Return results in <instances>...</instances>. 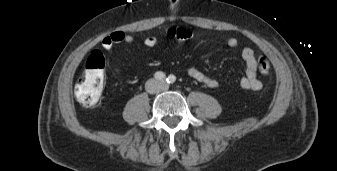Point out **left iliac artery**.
<instances>
[{"label":"left iliac artery","instance_id":"1","mask_svg":"<svg viewBox=\"0 0 337 171\" xmlns=\"http://www.w3.org/2000/svg\"><path fill=\"white\" fill-rule=\"evenodd\" d=\"M166 80L169 84H173L176 81V77L174 75H169Z\"/></svg>","mask_w":337,"mask_h":171}]
</instances>
